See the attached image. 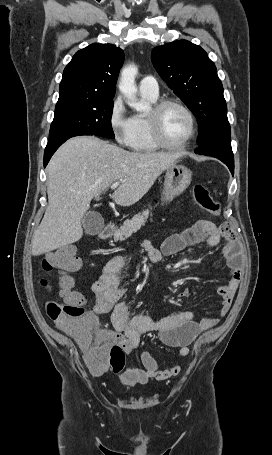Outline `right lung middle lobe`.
<instances>
[{"mask_svg":"<svg viewBox=\"0 0 272 455\" xmlns=\"http://www.w3.org/2000/svg\"><path fill=\"white\" fill-rule=\"evenodd\" d=\"M112 111V99L57 102L49 142L78 135H96L113 139Z\"/></svg>","mask_w":272,"mask_h":455,"instance_id":"obj_1","label":"right lung middle lobe"}]
</instances>
